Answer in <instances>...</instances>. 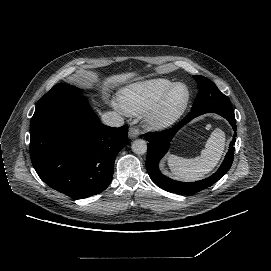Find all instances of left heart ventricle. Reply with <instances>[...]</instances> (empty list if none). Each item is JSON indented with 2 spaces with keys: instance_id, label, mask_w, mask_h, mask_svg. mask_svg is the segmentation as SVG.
Here are the masks:
<instances>
[{
  "instance_id": "1",
  "label": "left heart ventricle",
  "mask_w": 271,
  "mask_h": 271,
  "mask_svg": "<svg viewBox=\"0 0 271 271\" xmlns=\"http://www.w3.org/2000/svg\"><path fill=\"white\" fill-rule=\"evenodd\" d=\"M187 96V88L185 86H180L174 92V95L171 100V106L175 107L181 104Z\"/></svg>"
}]
</instances>
